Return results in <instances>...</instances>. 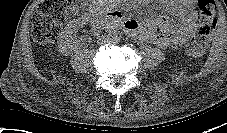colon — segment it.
Here are the masks:
<instances>
[{
    "label": "colon",
    "mask_w": 227,
    "mask_h": 133,
    "mask_svg": "<svg viewBox=\"0 0 227 133\" xmlns=\"http://www.w3.org/2000/svg\"><path fill=\"white\" fill-rule=\"evenodd\" d=\"M76 0H42L32 16V37L47 45L58 37L63 18L72 12ZM200 17L196 34L188 42V53L200 56L206 50L216 27L215 0H197Z\"/></svg>",
    "instance_id": "obj_1"
}]
</instances>
